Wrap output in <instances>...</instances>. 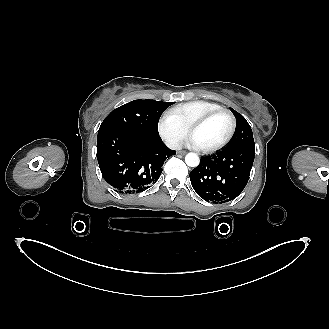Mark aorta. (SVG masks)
Segmentation results:
<instances>
[{"instance_id": "aorta-1", "label": "aorta", "mask_w": 329, "mask_h": 329, "mask_svg": "<svg viewBox=\"0 0 329 329\" xmlns=\"http://www.w3.org/2000/svg\"><path fill=\"white\" fill-rule=\"evenodd\" d=\"M185 162L190 167H197L200 163V159L197 154L195 153H188L185 156Z\"/></svg>"}]
</instances>
